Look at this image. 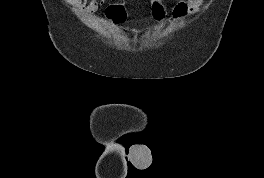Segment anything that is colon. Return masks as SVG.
<instances>
[{
    "label": "colon",
    "mask_w": 264,
    "mask_h": 178,
    "mask_svg": "<svg viewBox=\"0 0 264 178\" xmlns=\"http://www.w3.org/2000/svg\"><path fill=\"white\" fill-rule=\"evenodd\" d=\"M107 20L113 25L119 26L126 22L128 12L123 3H110L104 9ZM167 16V8L162 0H153L150 8V18L153 22L159 23Z\"/></svg>",
    "instance_id": "obj_1"
}]
</instances>
